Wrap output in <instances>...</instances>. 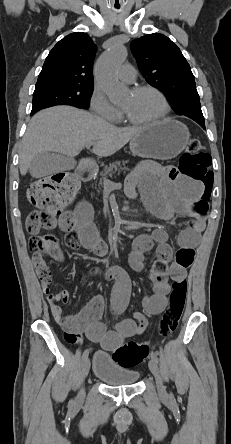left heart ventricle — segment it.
<instances>
[{
    "instance_id": "b2bd125f",
    "label": "left heart ventricle",
    "mask_w": 231,
    "mask_h": 444,
    "mask_svg": "<svg viewBox=\"0 0 231 444\" xmlns=\"http://www.w3.org/2000/svg\"><path fill=\"white\" fill-rule=\"evenodd\" d=\"M121 108L136 121H145L159 116L163 111L161 99L153 92L138 94L129 92L121 103Z\"/></svg>"
}]
</instances>
